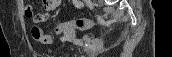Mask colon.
<instances>
[{
  "label": "colon",
  "mask_w": 172,
  "mask_h": 57,
  "mask_svg": "<svg viewBox=\"0 0 172 57\" xmlns=\"http://www.w3.org/2000/svg\"><path fill=\"white\" fill-rule=\"evenodd\" d=\"M26 13L31 15V10L29 8H27ZM95 26H96V23L93 20L85 19V18H78V19L72 20L70 22H64V23L59 24L56 27L55 31H56V33L65 32L70 27H75L79 30H87V29H91ZM41 35H42V33L38 32L35 35V39L40 38Z\"/></svg>",
  "instance_id": "obj_1"
}]
</instances>
